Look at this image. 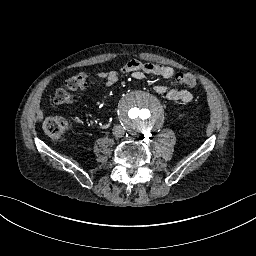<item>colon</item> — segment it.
I'll list each match as a JSON object with an SVG mask.
<instances>
[{"mask_svg":"<svg viewBox=\"0 0 256 256\" xmlns=\"http://www.w3.org/2000/svg\"><path fill=\"white\" fill-rule=\"evenodd\" d=\"M176 82L179 85L186 87H196L197 79L188 73L178 72L175 75ZM86 86V78L79 73L66 79L60 88L54 94L53 103L56 106H66L72 102L70 92L83 89ZM43 130L46 135L53 139L59 140L63 137L66 131V121L60 117L47 118L43 123Z\"/></svg>","mask_w":256,"mask_h":256,"instance_id":"5ec220e1","label":"colon"}]
</instances>
